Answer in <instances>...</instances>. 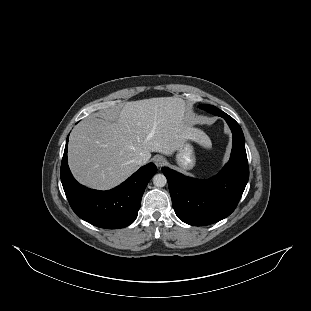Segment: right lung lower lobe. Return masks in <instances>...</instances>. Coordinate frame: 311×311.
I'll return each instance as SVG.
<instances>
[{
    "label": "right lung lower lobe",
    "instance_id": "1",
    "mask_svg": "<svg viewBox=\"0 0 311 311\" xmlns=\"http://www.w3.org/2000/svg\"><path fill=\"white\" fill-rule=\"evenodd\" d=\"M68 138L61 163V182L73 211L88 223L106 229L124 228L138 215L144 190L156 173L153 163L141 167L126 181L109 191L89 189L72 176L67 163Z\"/></svg>",
    "mask_w": 311,
    "mask_h": 311
}]
</instances>
